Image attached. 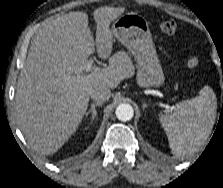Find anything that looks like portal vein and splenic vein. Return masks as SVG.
<instances>
[{
  "instance_id": "obj_1",
  "label": "portal vein and splenic vein",
  "mask_w": 223,
  "mask_h": 188,
  "mask_svg": "<svg viewBox=\"0 0 223 188\" xmlns=\"http://www.w3.org/2000/svg\"><path fill=\"white\" fill-rule=\"evenodd\" d=\"M92 65H93V60H92V59L88 60V61L85 63V71H86V72H90L91 69H92ZM158 94H159V92H158Z\"/></svg>"
}]
</instances>
